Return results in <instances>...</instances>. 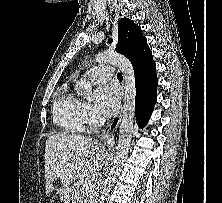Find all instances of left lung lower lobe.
Returning a JSON list of instances; mask_svg holds the SVG:
<instances>
[{
	"label": "left lung lower lobe",
	"mask_w": 222,
	"mask_h": 203,
	"mask_svg": "<svg viewBox=\"0 0 222 203\" xmlns=\"http://www.w3.org/2000/svg\"><path fill=\"white\" fill-rule=\"evenodd\" d=\"M135 71V112L139 127L147 124L157 99L158 79L156 75V64L152 58V52L147 41L139 49L131 61Z\"/></svg>",
	"instance_id": "1"
}]
</instances>
